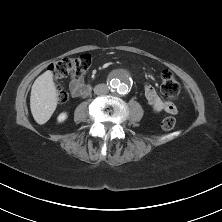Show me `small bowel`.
I'll return each instance as SVG.
<instances>
[{
    "label": "small bowel",
    "instance_id": "obj_1",
    "mask_svg": "<svg viewBox=\"0 0 222 222\" xmlns=\"http://www.w3.org/2000/svg\"><path fill=\"white\" fill-rule=\"evenodd\" d=\"M85 80L82 76L72 75L69 80V90L73 97H81L84 95ZM145 98L152 106L155 113L166 112L168 114H176L177 108L171 101H163L158 95L155 88L148 84L144 88Z\"/></svg>",
    "mask_w": 222,
    "mask_h": 222
}]
</instances>
